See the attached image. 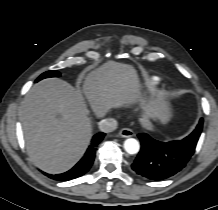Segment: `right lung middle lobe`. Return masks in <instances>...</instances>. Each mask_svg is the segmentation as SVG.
<instances>
[{"label":"right lung middle lobe","instance_id":"obj_1","mask_svg":"<svg viewBox=\"0 0 218 210\" xmlns=\"http://www.w3.org/2000/svg\"><path fill=\"white\" fill-rule=\"evenodd\" d=\"M59 76H60V73L58 71H55V70L47 71V72L43 73L42 75H40L38 77V79L36 80V82H38V81H40L41 79H44V78L59 77Z\"/></svg>","mask_w":218,"mask_h":210}]
</instances>
